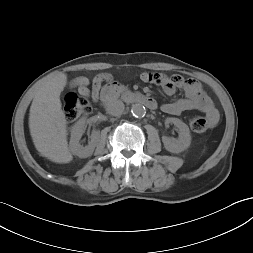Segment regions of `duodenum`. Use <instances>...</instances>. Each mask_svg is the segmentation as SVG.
Returning <instances> with one entry per match:
<instances>
[{"label":"duodenum","mask_w":253,"mask_h":253,"mask_svg":"<svg viewBox=\"0 0 253 253\" xmlns=\"http://www.w3.org/2000/svg\"><path fill=\"white\" fill-rule=\"evenodd\" d=\"M120 96L124 101L128 103H140L146 106L148 109L154 110L157 108V102L152 97L143 95L141 93L122 91L117 83H110L106 86L101 94L100 102L106 104L108 101Z\"/></svg>","instance_id":"1"}]
</instances>
